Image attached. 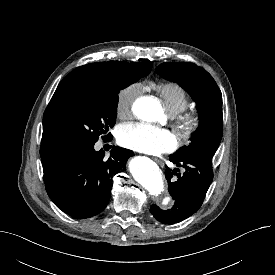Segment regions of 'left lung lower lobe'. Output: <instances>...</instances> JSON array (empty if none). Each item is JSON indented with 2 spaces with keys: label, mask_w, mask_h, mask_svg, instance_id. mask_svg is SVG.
I'll return each instance as SVG.
<instances>
[{
  "label": "left lung lower lobe",
  "mask_w": 275,
  "mask_h": 275,
  "mask_svg": "<svg viewBox=\"0 0 275 275\" xmlns=\"http://www.w3.org/2000/svg\"><path fill=\"white\" fill-rule=\"evenodd\" d=\"M170 161L185 170L183 173H177L178 169L171 171L166 167L168 191L175 200L172 209L162 210L155 204L150 208L153 216L164 224L178 223L194 214L202 205L213 180L212 158L209 156L178 158L171 155Z\"/></svg>",
  "instance_id": "0a47b994"
}]
</instances>
